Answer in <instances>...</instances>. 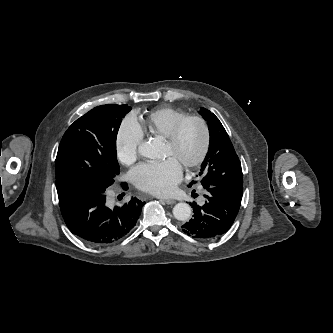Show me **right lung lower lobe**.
<instances>
[{
  "instance_id": "obj_1",
  "label": "right lung lower lobe",
  "mask_w": 333,
  "mask_h": 333,
  "mask_svg": "<svg viewBox=\"0 0 333 333\" xmlns=\"http://www.w3.org/2000/svg\"><path fill=\"white\" fill-rule=\"evenodd\" d=\"M123 189L128 185L122 183ZM145 202L131 198L110 209L104 192L84 190L59 197L60 210L69 230L93 245H109L124 238L141 214Z\"/></svg>"
}]
</instances>
